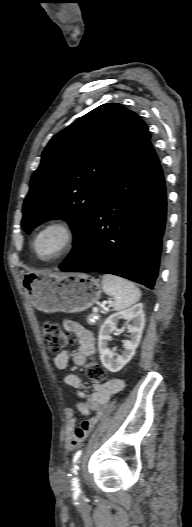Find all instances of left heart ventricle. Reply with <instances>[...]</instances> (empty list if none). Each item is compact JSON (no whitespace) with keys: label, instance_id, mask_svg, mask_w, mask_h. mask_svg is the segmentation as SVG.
Returning <instances> with one entry per match:
<instances>
[{"label":"left heart ventricle","instance_id":"1","mask_svg":"<svg viewBox=\"0 0 192 527\" xmlns=\"http://www.w3.org/2000/svg\"><path fill=\"white\" fill-rule=\"evenodd\" d=\"M64 233L59 228H50L43 232L37 241L38 253L47 257L54 254L63 244Z\"/></svg>","mask_w":192,"mask_h":527}]
</instances>
